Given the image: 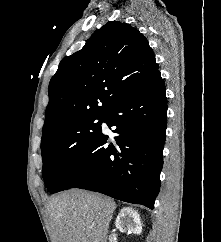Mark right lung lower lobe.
Returning <instances> with one entry per match:
<instances>
[{"label": "right lung lower lobe", "mask_w": 221, "mask_h": 242, "mask_svg": "<svg viewBox=\"0 0 221 242\" xmlns=\"http://www.w3.org/2000/svg\"><path fill=\"white\" fill-rule=\"evenodd\" d=\"M166 114L164 81L157 71L103 114V122L114 127L113 135L101 131L51 193L81 188L153 209L160 189Z\"/></svg>", "instance_id": "98d812e1"}]
</instances>
